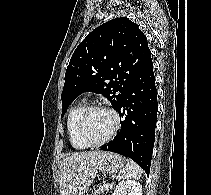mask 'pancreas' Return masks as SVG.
Segmentation results:
<instances>
[{
  "instance_id": "1",
  "label": "pancreas",
  "mask_w": 211,
  "mask_h": 195,
  "mask_svg": "<svg viewBox=\"0 0 211 195\" xmlns=\"http://www.w3.org/2000/svg\"><path fill=\"white\" fill-rule=\"evenodd\" d=\"M107 185L108 184H103V185L98 186V188L95 190L93 195H98L100 193H103L105 190H108V186Z\"/></svg>"
}]
</instances>
